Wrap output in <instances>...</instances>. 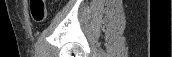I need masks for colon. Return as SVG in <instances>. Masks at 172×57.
Returning a JSON list of instances; mask_svg holds the SVG:
<instances>
[{"label":"colon","instance_id":"obj_1","mask_svg":"<svg viewBox=\"0 0 172 57\" xmlns=\"http://www.w3.org/2000/svg\"><path fill=\"white\" fill-rule=\"evenodd\" d=\"M30 12L36 23L43 22L47 16V9L44 0H30Z\"/></svg>","mask_w":172,"mask_h":57}]
</instances>
